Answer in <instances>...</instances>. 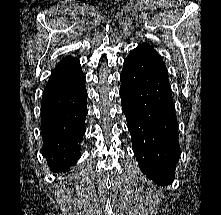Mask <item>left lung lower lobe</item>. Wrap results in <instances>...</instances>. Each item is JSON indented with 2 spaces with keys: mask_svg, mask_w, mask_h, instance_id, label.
I'll use <instances>...</instances> for the list:
<instances>
[{
  "mask_svg": "<svg viewBox=\"0 0 221 215\" xmlns=\"http://www.w3.org/2000/svg\"><path fill=\"white\" fill-rule=\"evenodd\" d=\"M120 80L122 110L140 169L161 186L171 184L180 149L165 63L151 46L141 44L124 60Z\"/></svg>",
  "mask_w": 221,
  "mask_h": 215,
  "instance_id": "obj_1",
  "label": "left lung lower lobe"
}]
</instances>
